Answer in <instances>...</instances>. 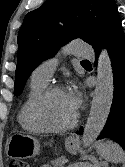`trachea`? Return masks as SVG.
I'll list each match as a JSON object with an SVG mask.
<instances>
[{
  "label": "trachea",
  "mask_w": 125,
  "mask_h": 167,
  "mask_svg": "<svg viewBox=\"0 0 125 167\" xmlns=\"http://www.w3.org/2000/svg\"><path fill=\"white\" fill-rule=\"evenodd\" d=\"M82 62H89L88 60H83Z\"/></svg>",
  "instance_id": "obj_1"
}]
</instances>
